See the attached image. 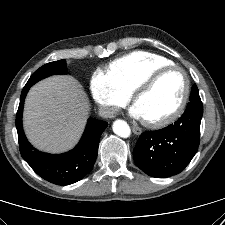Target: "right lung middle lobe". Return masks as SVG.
<instances>
[{
	"label": "right lung middle lobe",
	"mask_w": 225,
	"mask_h": 225,
	"mask_svg": "<svg viewBox=\"0 0 225 225\" xmlns=\"http://www.w3.org/2000/svg\"><path fill=\"white\" fill-rule=\"evenodd\" d=\"M67 73L66 71V64L65 60H59V61H54L47 63L40 67L28 80L27 84L28 85H33L39 80L48 77L50 75H55V74H65Z\"/></svg>",
	"instance_id": "obj_1"
}]
</instances>
